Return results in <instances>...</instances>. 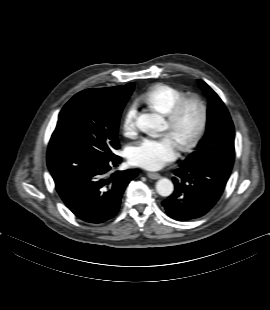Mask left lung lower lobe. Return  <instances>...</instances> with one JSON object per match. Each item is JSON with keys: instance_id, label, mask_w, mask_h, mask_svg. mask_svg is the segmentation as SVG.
Instances as JSON below:
<instances>
[{"instance_id": "left-lung-lower-lobe-1", "label": "left lung lower lobe", "mask_w": 270, "mask_h": 310, "mask_svg": "<svg viewBox=\"0 0 270 310\" xmlns=\"http://www.w3.org/2000/svg\"><path fill=\"white\" fill-rule=\"evenodd\" d=\"M175 190L162 202L166 213L178 221L207 214L222 195L230 172L205 165H181L174 171Z\"/></svg>"}]
</instances>
